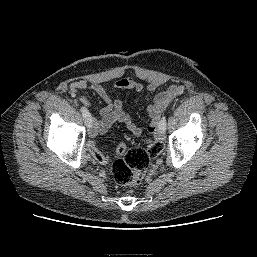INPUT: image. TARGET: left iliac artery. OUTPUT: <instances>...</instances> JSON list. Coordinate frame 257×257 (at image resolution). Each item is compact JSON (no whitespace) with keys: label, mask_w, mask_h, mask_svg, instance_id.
I'll return each instance as SVG.
<instances>
[{"label":"left iliac artery","mask_w":257,"mask_h":257,"mask_svg":"<svg viewBox=\"0 0 257 257\" xmlns=\"http://www.w3.org/2000/svg\"><path fill=\"white\" fill-rule=\"evenodd\" d=\"M158 127L160 129L166 130V116H163L161 121L159 122Z\"/></svg>","instance_id":"left-iliac-artery-1"}]
</instances>
